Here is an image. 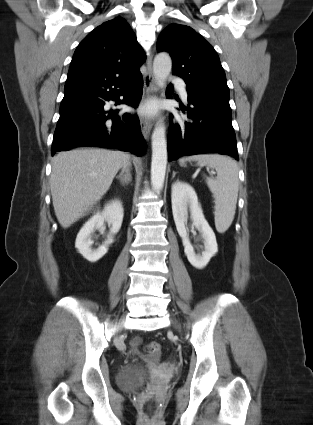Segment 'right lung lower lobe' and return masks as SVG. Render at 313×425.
I'll use <instances>...</instances> for the list:
<instances>
[{
  "label": "right lung lower lobe",
  "mask_w": 313,
  "mask_h": 425,
  "mask_svg": "<svg viewBox=\"0 0 313 425\" xmlns=\"http://www.w3.org/2000/svg\"><path fill=\"white\" fill-rule=\"evenodd\" d=\"M116 88H119L118 90ZM123 95V100L119 96ZM142 96L141 73L138 70L121 76L68 79L60 105L51 152L74 147L96 146L129 151L137 156L145 152V140L138 117L118 110L108 111L105 101L137 107Z\"/></svg>",
  "instance_id": "obj_1"
}]
</instances>
